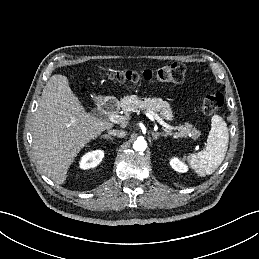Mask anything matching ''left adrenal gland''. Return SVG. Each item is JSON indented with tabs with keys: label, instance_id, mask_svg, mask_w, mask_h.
Masks as SVG:
<instances>
[{
	"label": "left adrenal gland",
	"instance_id": "a2214340",
	"mask_svg": "<svg viewBox=\"0 0 259 259\" xmlns=\"http://www.w3.org/2000/svg\"><path fill=\"white\" fill-rule=\"evenodd\" d=\"M152 136L155 140H157L160 136H167V134L159 133V132H152Z\"/></svg>",
	"mask_w": 259,
	"mask_h": 259
}]
</instances>
